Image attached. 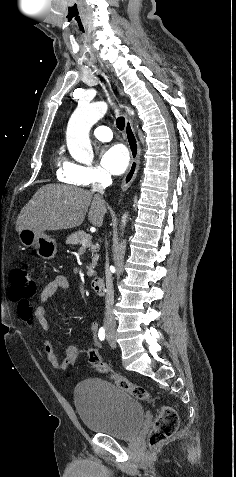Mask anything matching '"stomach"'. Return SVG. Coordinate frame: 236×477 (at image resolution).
Returning <instances> with one entry per match:
<instances>
[{"label":"stomach","instance_id":"stomach-1","mask_svg":"<svg viewBox=\"0 0 236 477\" xmlns=\"http://www.w3.org/2000/svg\"><path fill=\"white\" fill-rule=\"evenodd\" d=\"M19 241L25 248H34L37 254L44 259H52L57 253L56 241L43 233H36L30 229L19 232Z\"/></svg>","mask_w":236,"mask_h":477}]
</instances>
